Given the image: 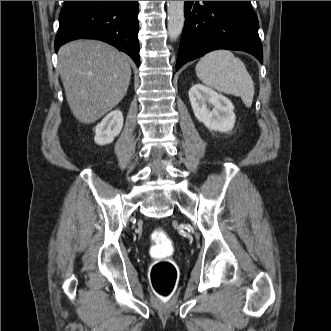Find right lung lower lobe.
Wrapping results in <instances>:
<instances>
[{
	"label": "right lung lower lobe",
	"mask_w": 331,
	"mask_h": 331,
	"mask_svg": "<svg viewBox=\"0 0 331 331\" xmlns=\"http://www.w3.org/2000/svg\"><path fill=\"white\" fill-rule=\"evenodd\" d=\"M138 1H65L55 51L75 39H98L127 53L139 66Z\"/></svg>",
	"instance_id": "right-lung-lower-lobe-1"
}]
</instances>
